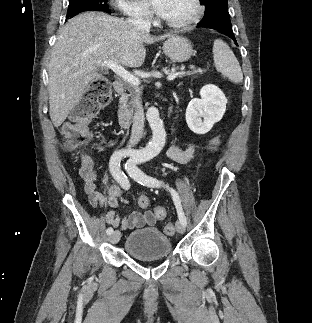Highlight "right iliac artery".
<instances>
[{
  "instance_id": "1",
  "label": "right iliac artery",
  "mask_w": 312,
  "mask_h": 323,
  "mask_svg": "<svg viewBox=\"0 0 312 323\" xmlns=\"http://www.w3.org/2000/svg\"><path fill=\"white\" fill-rule=\"evenodd\" d=\"M127 155H128V152H126V151H117L110 158V171L112 173V176L121 185V187L126 190L129 189L130 183H129V180H128L127 176L125 175V173L120 170V162H121L122 157H126ZM135 159H137V158L129 159L127 161V163L125 164V169L128 167L135 166V164H136ZM106 233L108 235L112 234L113 228L109 227L106 230Z\"/></svg>"
}]
</instances>
